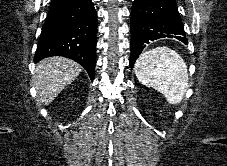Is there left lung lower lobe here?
I'll return each instance as SVG.
<instances>
[{
	"instance_id": "obj_1",
	"label": "left lung lower lobe",
	"mask_w": 227,
	"mask_h": 166,
	"mask_svg": "<svg viewBox=\"0 0 227 166\" xmlns=\"http://www.w3.org/2000/svg\"><path fill=\"white\" fill-rule=\"evenodd\" d=\"M185 36L175 0H134L131 8L130 67L150 41L168 37L187 44Z\"/></svg>"
}]
</instances>
